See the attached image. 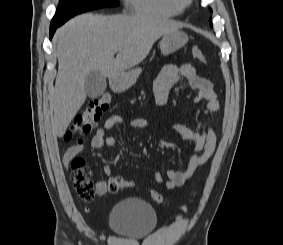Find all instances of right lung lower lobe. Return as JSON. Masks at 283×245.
I'll return each mask as SVG.
<instances>
[{
  "label": "right lung lower lobe",
  "instance_id": "obj_1",
  "mask_svg": "<svg viewBox=\"0 0 283 245\" xmlns=\"http://www.w3.org/2000/svg\"><path fill=\"white\" fill-rule=\"evenodd\" d=\"M62 24H55V23H52L51 26H50V39H52L53 37V34L55 33L56 29Z\"/></svg>",
  "mask_w": 283,
  "mask_h": 245
}]
</instances>
